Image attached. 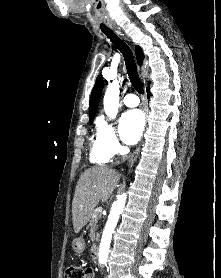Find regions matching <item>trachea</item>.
Instances as JSON below:
<instances>
[{
	"label": "trachea",
	"mask_w": 221,
	"mask_h": 278,
	"mask_svg": "<svg viewBox=\"0 0 221 278\" xmlns=\"http://www.w3.org/2000/svg\"><path fill=\"white\" fill-rule=\"evenodd\" d=\"M102 32L110 39V41L120 50L122 53L125 65L127 69V73L135 90L142 94L143 93V84L139 78L137 66L134 60L133 53L129 46L124 43L121 39L117 37V35L112 30H102Z\"/></svg>",
	"instance_id": "obj_1"
}]
</instances>
